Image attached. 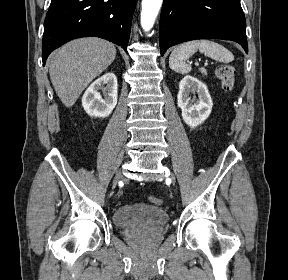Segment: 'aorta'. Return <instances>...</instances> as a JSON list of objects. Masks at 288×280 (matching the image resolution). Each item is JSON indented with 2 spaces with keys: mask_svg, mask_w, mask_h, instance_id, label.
<instances>
[{
  "mask_svg": "<svg viewBox=\"0 0 288 280\" xmlns=\"http://www.w3.org/2000/svg\"><path fill=\"white\" fill-rule=\"evenodd\" d=\"M163 0H142L141 26L149 31L156 20Z\"/></svg>",
  "mask_w": 288,
  "mask_h": 280,
  "instance_id": "1",
  "label": "aorta"
}]
</instances>
